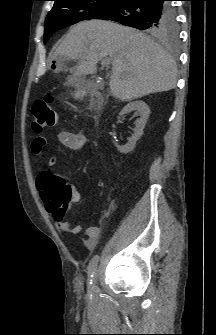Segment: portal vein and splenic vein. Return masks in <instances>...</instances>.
Returning a JSON list of instances; mask_svg holds the SVG:
<instances>
[{
  "label": "portal vein and splenic vein",
  "mask_w": 216,
  "mask_h": 335,
  "mask_svg": "<svg viewBox=\"0 0 216 335\" xmlns=\"http://www.w3.org/2000/svg\"><path fill=\"white\" fill-rule=\"evenodd\" d=\"M109 62H110V60L104 59V60H102V65H108Z\"/></svg>",
  "instance_id": "1"
}]
</instances>
